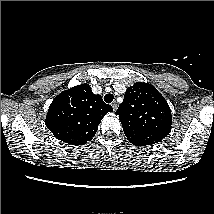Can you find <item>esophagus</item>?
I'll list each match as a JSON object with an SVG mask.
<instances>
[{"instance_id": "esophagus-1", "label": "esophagus", "mask_w": 214, "mask_h": 214, "mask_svg": "<svg viewBox=\"0 0 214 214\" xmlns=\"http://www.w3.org/2000/svg\"><path fill=\"white\" fill-rule=\"evenodd\" d=\"M111 106H112V108H113L114 111L117 109V103L116 102H113L111 104Z\"/></svg>"}]
</instances>
